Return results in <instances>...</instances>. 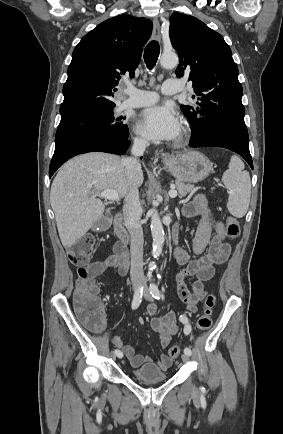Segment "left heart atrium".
Masks as SVG:
<instances>
[{
    "label": "left heart atrium",
    "mask_w": 283,
    "mask_h": 434,
    "mask_svg": "<svg viewBox=\"0 0 283 434\" xmlns=\"http://www.w3.org/2000/svg\"><path fill=\"white\" fill-rule=\"evenodd\" d=\"M136 129L151 140H172L179 135L181 124L175 109L169 104H163L143 110Z\"/></svg>",
    "instance_id": "left-heart-atrium-1"
}]
</instances>
